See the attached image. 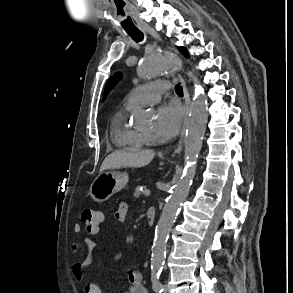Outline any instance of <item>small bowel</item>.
<instances>
[{
  "instance_id": "1",
  "label": "small bowel",
  "mask_w": 293,
  "mask_h": 293,
  "mask_svg": "<svg viewBox=\"0 0 293 293\" xmlns=\"http://www.w3.org/2000/svg\"><path fill=\"white\" fill-rule=\"evenodd\" d=\"M129 211V205L127 202H120L117 210L114 213V218L119 223H124L127 218V214ZM105 221L104 215L101 213V224H103ZM100 227V226H99ZM99 227L95 230H88L85 228V230L90 235H96L99 232ZM75 233L81 232V226L79 224H76L74 226ZM85 244L89 249V253L87 257L82 261L75 263L72 267V274L75 277V279L79 282H83L85 280L84 277V269L88 267L93 260V252L95 249V242L91 238L85 239ZM79 250V244L73 243L72 244V252L77 253ZM127 282L128 287L126 289V293H148L146 287L143 284V274L138 269H129L127 272ZM98 290V293H102L100 288L94 284V283H87L86 284V292L87 293H95L94 290Z\"/></svg>"
}]
</instances>
